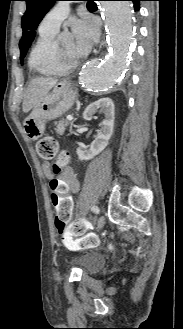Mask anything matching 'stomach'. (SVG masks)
<instances>
[{"mask_svg":"<svg viewBox=\"0 0 183 329\" xmlns=\"http://www.w3.org/2000/svg\"><path fill=\"white\" fill-rule=\"evenodd\" d=\"M76 91L66 83H58L53 91L46 94L34 106L24 120V130L30 140H38L45 131L47 121L57 119L74 105Z\"/></svg>","mask_w":183,"mask_h":329,"instance_id":"stomach-1","label":"stomach"}]
</instances>
